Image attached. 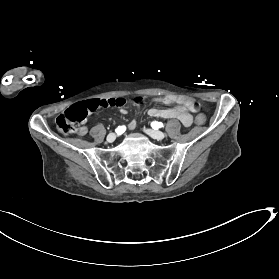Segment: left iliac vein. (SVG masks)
<instances>
[{
	"instance_id": "1",
	"label": "left iliac vein",
	"mask_w": 279,
	"mask_h": 279,
	"mask_svg": "<svg viewBox=\"0 0 279 279\" xmlns=\"http://www.w3.org/2000/svg\"><path fill=\"white\" fill-rule=\"evenodd\" d=\"M144 131L151 136L152 138L156 139V140H162L165 138V134L161 131H157V130H152V129H145Z\"/></svg>"
}]
</instances>
